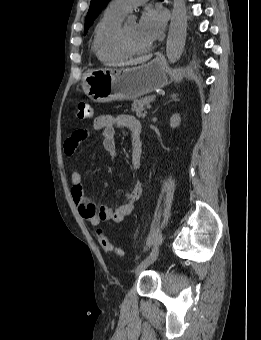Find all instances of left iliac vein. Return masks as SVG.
<instances>
[{"label":"left iliac vein","mask_w":261,"mask_h":340,"mask_svg":"<svg viewBox=\"0 0 261 340\" xmlns=\"http://www.w3.org/2000/svg\"><path fill=\"white\" fill-rule=\"evenodd\" d=\"M152 262H144V263H141L139 264L136 269H135V274H139L141 273L142 271H144L146 268L149 267V265L151 264Z\"/></svg>","instance_id":"1"}]
</instances>
